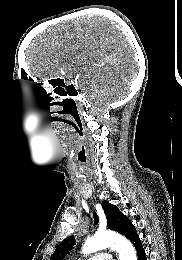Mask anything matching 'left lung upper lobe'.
Returning <instances> with one entry per match:
<instances>
[{
	"label": "left lung upper lobe",
	"instance_id": "obj_1",
	"mask_svg": "<svg viewBox=\"0 0 182 260\" xmlns=\"http://www.w3.org/2000/svg\"><path fill=\"white\" fill-rule=\"evenodd\" d=\"M102 208L105 212L107 226L109 229L126 236L134 227L128 217L122 214L115 205L110 204L108 201H103ZM93 216L95 219V224H97V214L94 213ZM74 244L75 238L73 236L67 237L57 246L50 260H63Z\"/></svg>",
	"mask_w": 182,
	"mask_h": 260
}]
</instances>
